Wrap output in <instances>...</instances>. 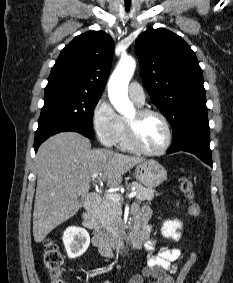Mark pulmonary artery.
Returning <instances> with one entry per match:
<instances>
[{"label":"pulmonary artery","mask_w":233,"mask_h":283,"mask_svg":"<svg viewBox=\"0 0 233 283\" xmlns=\"http://www.w3.org/2000/svg\"><path fill=\"white\" fill-rule=\"evenodd\" d=\"M128 93L130 98L137 104V105H143L145 103V94L142 89V87L136 83L132 82L129 85Z\"/></svg>","instance_id":"pulmonary-artery-1"}]
</instances>
